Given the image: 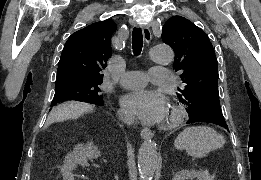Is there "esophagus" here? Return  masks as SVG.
Here are the masks:
<instances>
[{
    "mask_svg": "<svg viewBox=\"0 0 261 180\" xmlns=\"http://www.w3.org/2000/svg\"><path fill=\"white\" fill-rule=\"evenodd\" d=\"M142 30H143V36L145 38V41L147 44H149L152 39L151 31L147 25H144ZM153 136H154V133L151 130H149V128H144L141 131V138L144 140L151 139V138H153Z\"/></svg>",
    "mask_w": 261,
    "mask_h": 180,
    "instance_id": "esophagus-1",
    "label": "esophagus"
}]
</instances>
